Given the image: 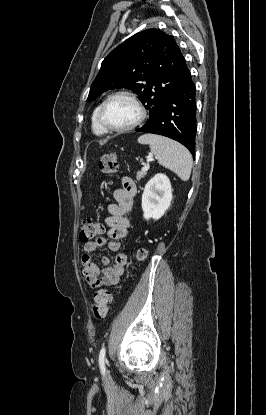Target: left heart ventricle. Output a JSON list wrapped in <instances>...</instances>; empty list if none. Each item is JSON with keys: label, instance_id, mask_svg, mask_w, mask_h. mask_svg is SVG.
Wrapping results in <instances>:
<instances>
[{"label": "left heart ventricle", "instance_id": "left-heart-ventricle-1", "mask_svg": "<svg viewBox=\"0 0 266 415\" xmlns=\"http://www.w3.org/2000/svg\"><path fill=\"white\" fill-rule=\"evenodd\" d=\"M138 117L136 106L125 97L111 100L105 109V120L112 127H124Z\"/></svg>", "mask_w": 266, "mask_h": 415}]
</instances>
